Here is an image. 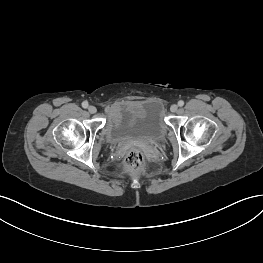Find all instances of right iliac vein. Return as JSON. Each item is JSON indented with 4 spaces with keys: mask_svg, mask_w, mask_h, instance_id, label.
I'll use <instances>...</instances> for the list:
<instances>
[{
    "mask_svg": "<svg viewBox=\"0 0 263 263\" xmlns=\"http://www.w3.org/2000/svg\"><path fill=\"white\" fill-rule=\"evenodd\" d=\"M88 111L91 113V114H94V113H96V111H97V109H96V107H94V106H89L88 107Z\"/></svg>",
    "mask_w": 263,
    "mask_h": 263,
    "instance_id": "right-iliac-vein-1",
    "label": "right iliac vein"
}]
</instances>
